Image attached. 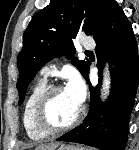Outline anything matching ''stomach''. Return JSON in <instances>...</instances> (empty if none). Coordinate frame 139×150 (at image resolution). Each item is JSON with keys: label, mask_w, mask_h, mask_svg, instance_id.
I'll use <instances>...</instances> for the list:
<instances>
[{"label": "stomach", "mask_w": 139, "mask_h": 150, "mask_svg": "<svg viewBox=\"0 0 139 150\" xmlns=\"http://www.w3.org/2000/svg\"><path fill=\"white\" fill-rule=\"evenodd\" d=\"M58 150H87V149L82 147L72 146V145H62Z\"/></svg>", "instance_id": "obj_1"}]
</instances>
